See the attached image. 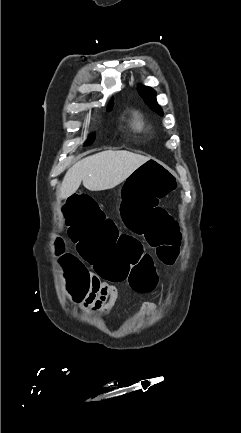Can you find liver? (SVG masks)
<instances>
[{"mask_svg": "<svg viewBox=\"0 0 241 433\" xmlns=\"http://www.w3.org/2000/svg\"><path fill=\"white\" fill-rule=\"evenodd\" d=\"M150 158L129 151H103L75 163L65 174L58 197L73 195L83 182L90 191L114 188Z\"/></svg>", "mask_w": 241, "mask_h": 433, "instance_id": "obj_1", "label": "liver"}]
</instances>
